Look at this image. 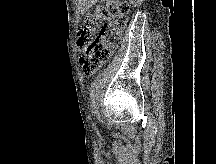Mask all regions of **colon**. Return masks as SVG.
<instances>
[{
  "mask_svg": "<svg viewBox=\"0 0 216 164\" xmlns=\"http://www.w3.org/2000/svg\"><path fill=\"white\" fill-rule=\"evenodd\" d=\"M129 3L123 0H109L99 6L81 27L77 45L84 51L80 60L84 73L93 75L110 57L119 44L125 29Z\"/></svg>",
  "mask_w": 216,
  "mask_h": 164,
  "instance_id": "colon-1",
  "label": "colon"
}]
</instances>
